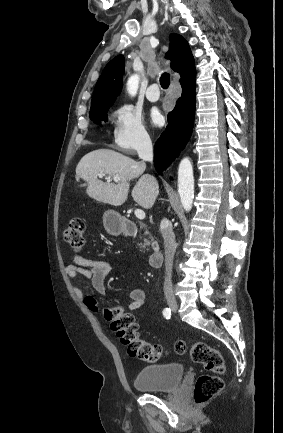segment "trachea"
Segmentation results:
<instances>
[{
	"mask_svg": "<svg viewBox=\"0 0 283 433\" xmlns=\"http://www.w3.org/2000/svg\"><path fill=\"white\" fill-rule=\"evenodd\" d=\"M160 85L162 88H168L170 85V73H163L160 78Z\"/></svg>",
	"mask_w": 283,
	"mask_h": 433,
	"instance_id": "trachea-1",
	"label": "trachea"
}]
</instances>
